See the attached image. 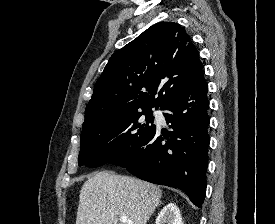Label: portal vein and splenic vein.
Listing matches in <instances>:
<instances>
[{
	"instance_id": "18ae733b",
	"label": "portal vein and splenic vein",
	"mask_w": 275,
	"mask_h": 224,
	"mask_svg": "<svg viewBox=\"0 0 275 224\" xmlns=\"http://www.w3.org/2000/svg\"><path fill=\"white\" fill-rule=\"evenodd\" d=\"M119 220L123 224H133V222L131 220H129L126 216L120 217Z\"/></svg>"
}]
</instances>
